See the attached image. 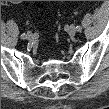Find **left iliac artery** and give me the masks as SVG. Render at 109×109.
Returning a JSON list of instances; mask_svg holds the SVG:
<instances>
[{
  "mask_svg": "<svg viewBox=\"0 0 109 109\" xmlns=\"http://www.w3.org/2000/svg\"><path fill=\"white\" fill-rule=\"evenodd\" d=\"M76 29H77V31L79 32V31L82 30V27H81V26H76Z\"/></svg>",
  "mask_w": 109,
  "mask_h": 109,
  "instance_id": "obj_1",
  "label": "left iliac artery"
}]
</instances>
